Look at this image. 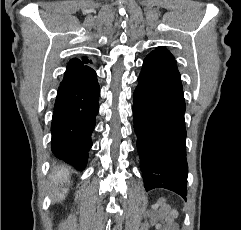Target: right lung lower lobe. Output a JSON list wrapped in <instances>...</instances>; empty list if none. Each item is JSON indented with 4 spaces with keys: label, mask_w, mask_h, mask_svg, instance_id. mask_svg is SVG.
Segmentation results:
<instances>
[{
    "label": "right lung lower lobe",
    "mask_w": 241,
    "mask_h": 230,
    "mask_svg": "<svg viewBox=\"0 0 241 230\" xmlns=\"http://www.w3.org/2000/svg\"><path fill=\"white\" fill-rule=\"evenodd\" d=\"M99 94L95 71L76 59L70 60L54 105L52 152L80 171L86 167L92 146Z\"/></svg>",
    "instance_id": "98d812e1"
}]
</instances>
